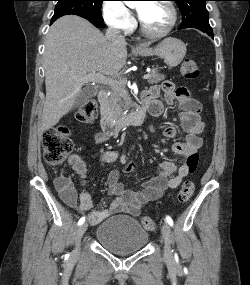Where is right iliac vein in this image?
<instances>
[{"label": "right iliac vein", "instance_id": "obj_1", "mask_svg": "<svg viewBox=\"0 0 250 285\" xmlns=\"http://www.w3.org/2000/svg\"><path fill=\"white\" fill-rule=\"evenodd\" d=\"M88 227L87 223H83L77 230L76 236H75V249H74V254L77 255L80 250V242L81 238L83 237L84 233L86 232Z\"/></svg>", "mask_w": 250, "mask_h": 285}]
</instances>
